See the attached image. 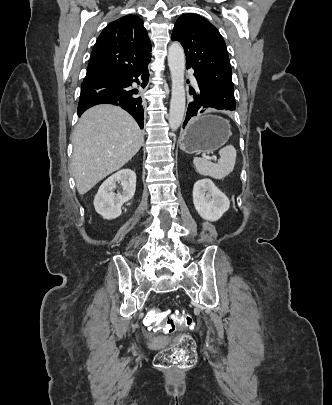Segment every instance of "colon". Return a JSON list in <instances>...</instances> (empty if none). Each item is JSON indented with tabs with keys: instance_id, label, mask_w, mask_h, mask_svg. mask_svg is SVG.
<instances>
[{
	"instance_id": "1",
	"label": "colon",
	"mask_w": 332,
	"mask_h": 405,
	"mask_svg": "<svg viewBox=\"0 0 332 405\" xmlns=\"http://www.w3.org/2000/svg\"><path fill=\"white\" fill-rule=\"evenodd\" d=\"M146 328H163L172 333L178 327L190 328L193 318L185 313H167L154 308L145 316ZM196 361V348L193 338L183 335L173 346L160 351L155 358V365L161 368H189Z\"/></svg>"
}]
</instances>
